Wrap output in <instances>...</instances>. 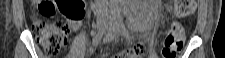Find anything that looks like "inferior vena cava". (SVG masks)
<instances>
[{"instance_id":"1","label":"inferior vena cava","mask_w":225,"mask_h":58,"mask_svg":"<svg viewBox=\"0 0 225 58\" xmlns=\"http://www.w3.org/2000/svg\"><path fill=\"white\" fill-rule=\"evenodd\" d=\"M97 15L99 17H107V8L105 5V0H97Z\"/></svg>"}]
</instances>
